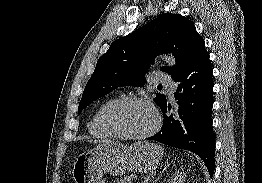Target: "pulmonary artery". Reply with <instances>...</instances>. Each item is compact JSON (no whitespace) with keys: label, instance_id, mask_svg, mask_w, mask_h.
<instances>
[{"label":"pulmonary artery","instance_id":"1","mask_svg":"<svg viewBox=\"0 0 262 183\" xmlns=\"http://www.w3.org/2000/svg\"><path fill=\"white\" fill-rule=\"evenodd\" d=\"M159 81L166 86L170 96L173 97L174 90H175V87H176L175 82H173L170 78L165 77V76L160 77Z\"/></svg>","mask_w":262,"mask_h":183}]
</instances>
